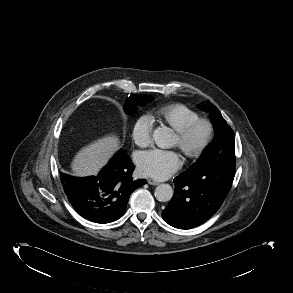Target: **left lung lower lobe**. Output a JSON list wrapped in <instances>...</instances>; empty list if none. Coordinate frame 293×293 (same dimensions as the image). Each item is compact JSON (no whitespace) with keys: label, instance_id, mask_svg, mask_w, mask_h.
Returning a JSON list of instances; mask_svg holds the SVG:
<instances>
[{"label":"left lung lower lobe","instance_id":"left-lung-lower-lobe-1","mask_svg":"<svg viewBox=\"0 0 293 293\" xmlns=\"http://www.w3.org/2000/svg\"><path fill=\"white\" fill-rule=\"evenodd\" d=\"M235 173V165L221 169H187L174 178L175 193L163 210V219L179 229L196 227L220 208Z\"/></svg>","mask_w":293,"mask_h":293}]
</instances>
